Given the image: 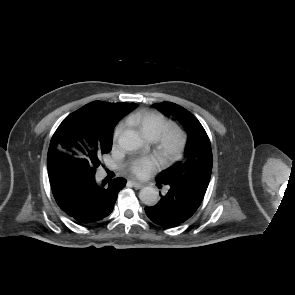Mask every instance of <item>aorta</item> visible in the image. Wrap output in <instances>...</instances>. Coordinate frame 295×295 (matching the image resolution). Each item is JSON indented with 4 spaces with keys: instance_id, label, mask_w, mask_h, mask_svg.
<instances>
[{
    "instance_id": "762f6f07",
    "label": "aorta",
    "mask_w": 295,
    "mask_h": 295,
    "mask_svg": "<svg viewBox=\"0 0 295 295\" xmlns=\"http://www.w3.org/2000/svg\"><path fill=\"white\" fill-rule=\"evenodd\" d=\"M119 146L127 151H135L142 147L140 135L134 130H125L118 138ZM139 198L147 206H154L159 200L158 191L150 186L144 187L139 192Z\"/></svg>"
}]
</instances>
